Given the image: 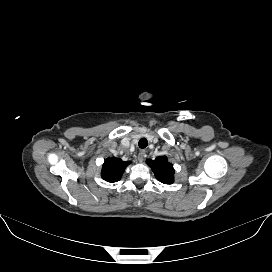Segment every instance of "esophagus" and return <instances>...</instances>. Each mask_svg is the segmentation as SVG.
Here are the masks:
<instances>
[{"label":"esophagus","mask_w":272,"mask_h":272,"mask_svg":"<svg viewBox=\"0 0 272 272\" xmlns=\"http://www.w3.org/2000/svg\"><path fill=\"white\" fill-rule=\"evenodd\" d=\"M144 157H145V151L141 150L137 155V159L139 162H142L144 160Z\"/></svg>","instance_id":"1"}]
</instances>
